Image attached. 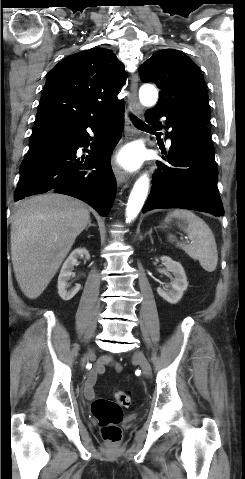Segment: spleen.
<instances>
[{
  "mask_svg": "<svg viewBox=\"0 0 245 479\" xmlns=\"http://www.w3.org/2000/svg\"><path fill=\"white\" fill-rule=\"evenodd\" d=\"M168 218L184 221L181 226L187 233L191 244L177 243L192 259L198 260L207 272H213L218 262L217 245L210 227L203 219L189 210L176 209L169 212ZM173 238L170 236V239Z\"/></svg>",
  "mask_w": 245,
  "mask_h": 479,
  "instance_id": "3e777b00",
  "label": "spleen"
}]
</instances>
